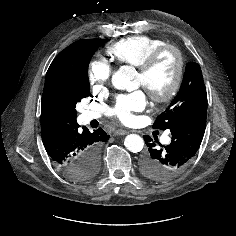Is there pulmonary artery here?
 Here are the masks:
<instances>
[{"mask_svg": "<svg viewBox=\"0 0 236 236\" xmlns=\"http://www.w3.org/2000/svg\"><path fill=\"white\" fill-rule=\"evenodd\" d=\"M98 117H99V114L97 112L86 111V112L83 113V118H84L85 122H89V121H91L93 119H96ZM162 141L164 143H168L170 141L169 136L168 135H164L162 137Z\"/></svg>", "mask_w": 236, "mask_h": 236, "instance_id": "obj_1", "label": "pulmonary artery"}]
</instances>
